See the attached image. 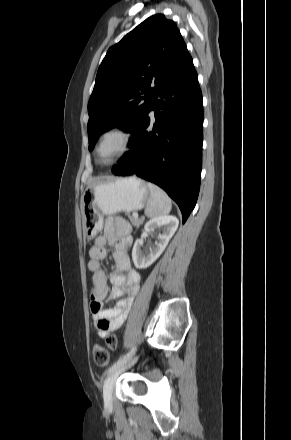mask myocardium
I'll return each mask as SVG.
<instances>
[{"instance_id":"obj_1","label":"myocardium","mask_w":291,"mask_h":440,"mask_svg":"<svg viewBox=\"0 0 291 440\" xmlns=\"http://www.w3.org/2000/svg\"><path fill=\"white\" fill-rule=\"evenodd\" d=\"M110 143H116L117 151L111 155H105L104 149ZM130 133L121 126H112L104 130L98 138L94 149L96 163L102 166H110L124 157L130 149Z\"/></svg>"}]
</instances>
